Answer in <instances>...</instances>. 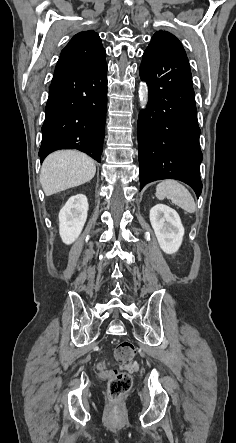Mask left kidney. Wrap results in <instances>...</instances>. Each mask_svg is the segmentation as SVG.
Returning a JSON list of instances; mask_svg holds the SVG:
<instances>
[{
    "label": "left kidney",
    "mask_w": 236,
    "mask_h": 443,
    "mask_svg": "<svg viewBox=\"0 0 236 443\" xmlns=\"http://www.w3.org/2000/svg\"><path fill=\"white\" fill-rule=\"evenodd\" d=\"M150 222L160 248L167 254L176 253L184 236V227L178 213L169 206L156 204L150 210Z\"/></svg>",
    "instance_id": "1"
}]
</instances>
